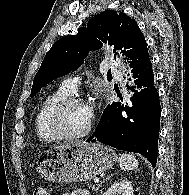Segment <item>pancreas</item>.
Listing matches in <instances>:
<instances>
[{
    "instance_id": "cf45deb5",
    "label": "pancreas",
    "mask_w": 189,
    "mask_h": 195,
    "mask_svg": "<svg viewBox=\"0 0 189 195\" xmlns=\"http://www.w3.org/2000/svg\"><path fill=\"white\" fill-rule=\"evenodd\" d=\"M88 187H89V188L92 187V184H88ZM93 188H94V185H93Z\"/></svg>"
}]
</instances>
